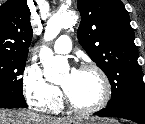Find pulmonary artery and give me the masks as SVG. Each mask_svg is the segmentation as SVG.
I'll use <instances>...</instances> for the list:
<instances>
[{"mask_svg": "<svg viewBox=\"0 0 145 124\" xmlns=\"http://www.w3.org/2000/svg\"><path fill=\"white\" fill-rule=\"evenodd\" d=\"M53 48L58 54H67L72 48L71 39L66 35L60 36L54 43Z\"/></svg>", "mask_w": 145, "mask_h": 124, "instance_id": "obj_1", "label": "pulmonary artery"}]
</instances>
